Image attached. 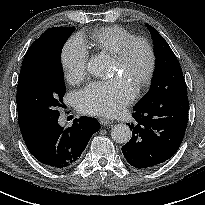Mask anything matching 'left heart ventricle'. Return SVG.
Returning <instances> with one entry per match:
<instances>
[{
    "label": "left heart ventricle",
    "instance_id": "obj_1",
    "mask_svg": "<svg viewBox=\"0 0 205 205\" xmlns=\"http://www.w3.org/2000/svg\"><path fill=\"white\" fill-rule=\"evenodd\" d=\"M148 63L147 52L143 46H136L128 61L124 65L118 64L114 61V75L122 74L123 76L129 78L132 82L137 83V81L144 74Z\"/></svg>",
    "mask_w": 205,
    "mask_h": 205
}]
</instances>
